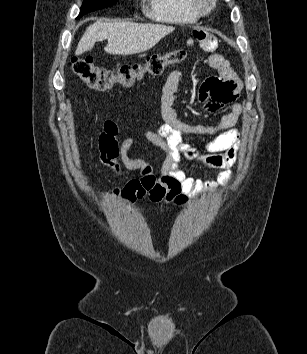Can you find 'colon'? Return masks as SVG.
Returning <instances> with one entry per match:
<instances>
[{
	"instance_id": "obj_1",
	"label": "colon",
	"mask_w": 307,
	"mask_h": 354,
	"mask_svg": "<svg viewBox=\"0 0 307 354\" xmlns=\"http://www.w3.org/2000/svg\"><path fill=\"white\" fill-rule=\"evenodd\" d=\"M186 56L185 50L176 49L166 54L151 55L143 63L126 65L116 71L98 66L90 57L74 58L72 70L89 87L106 90L114 84L129 87L146 75H159L167 66L184 61Z\"/></svg>"
}]
</instances>
